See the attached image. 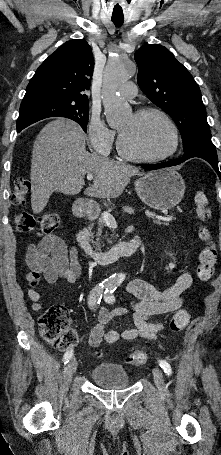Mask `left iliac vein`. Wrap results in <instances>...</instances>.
<instances>
[{
	"instance_id": "4c4485c4",
	"label": "left iliac vein",
	"mask_w": 221,
	"mask_h": 455,
	"mask_svg": "<svg viewBox=\"0 0 221 455\" xmlns=\"http://www.w3.org/2000/svg\"><path fill=\"white\" fill-rule=\"evenodd\" d=\"M152 373L154 376L155 384H156L157 388L159 389V391L165 392L166 388H165L162 371L158 367H154L152 370Z\"/></svg>"
}]
</instances>
